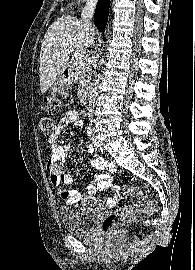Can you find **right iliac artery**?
<instances>
[{
    "label": "right iliac artery",
    "mask_w": 195,
    "mask_h": 270,
    "mask_svg": "<svg viewBox=\"0 0 195 270\" xmlns=\"http://www.w3.org/2000/svg\"><path fill=\"white\" fill-rule=\"evenodd\" d=\"M87 134H88L89 137H92V134H93V128H92L91 125L87 127Z\"/></svg>",
    "instance_id": "right-iliac-artery-1"
}]
</instances>
